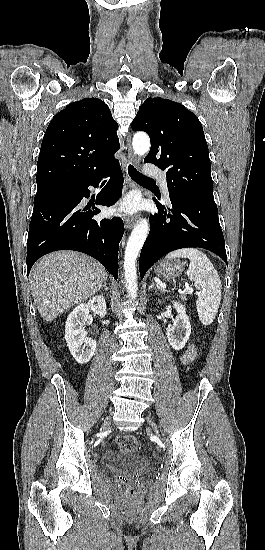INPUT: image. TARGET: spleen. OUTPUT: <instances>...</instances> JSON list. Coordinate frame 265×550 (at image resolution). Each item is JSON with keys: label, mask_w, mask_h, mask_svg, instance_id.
Instances as JSON below:
<instances>
[{"label": "spleen", "mask_w": 265, "mask_h": 550, "mask_svg": "<svg viewBox=\"0 0 265 550\" xmlns=\"http://www.w3.org/2000/svg\"><path fill=\"white\" fill-rule=\"evenodd\" d=\"M188 258L189 269L186 274L194 281L199 296L196 308L200 321L204 325H210L217 312L221 301V281L209 258L196 248H183L170 252L166 258Z\"/></svg>", "instance_id": "spleen-1"}]
</instances>
